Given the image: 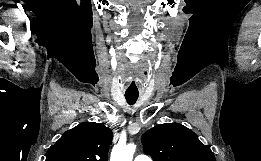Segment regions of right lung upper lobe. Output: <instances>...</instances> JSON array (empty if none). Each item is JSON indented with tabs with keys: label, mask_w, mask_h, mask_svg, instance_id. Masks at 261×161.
I'll list each match as a JSON object with an SVG mask.
<instances>
[{
	"label": "right lung upper lobe",
	"mask_w": 261,
	"mask_h": 161,
	"mask_svg": "<svg viewBox=\"0 0 261 161\" xmlns=\"http://www.w3.org/2000/svg\"><path fill=\"white\" fill-rule=\"evenodd\" d=\"M112 131L104 124L84 122L52 145L45 161H107Z\"/></svg>",
	"instance_id": "obj_1"
}]
</instances>
